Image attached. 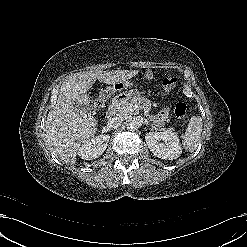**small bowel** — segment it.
Wrapping results in <instances>:
<instances>
[{
    "instance_id": "small-bowel-1",
    "label": "small bowel",
    "mask_w": 247,
    "mask_h": 247,
    "mask_svg": "<svg viewBox=\"0 0 247 247\" xmlns=\"http://www.w3.org/2000/svg\"><path fill=\"white\" fill-rule=\"evenodd\" d=\"M153 76H154V72L152 70H146L144 72V78L147 80H151ZM167 115H168V109L167 108L161 109L155 117L156 123L158 124L163 123Z\"/></svg>"
}]
</instances>
